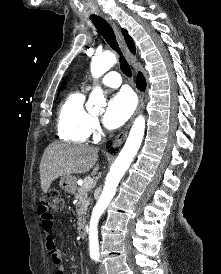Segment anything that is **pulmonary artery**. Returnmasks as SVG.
<instances>
[{"instance_id":"1","label":"pulmonary artery","mask_w":221,"mask_h":274,"mask_svg":"<svg viewBox=\"0 0 221 274\" xmlns=\"http://www.w3.org/2000/svg\"><path fill=\"white\" fill-rule=\"evenodd\" d=\"M101 83L106 87L118 88L121 85V77L117 72L111 71L103 77ZM90 88L91 85L87 86V89Z\"/></svg>"}]
</instances>
